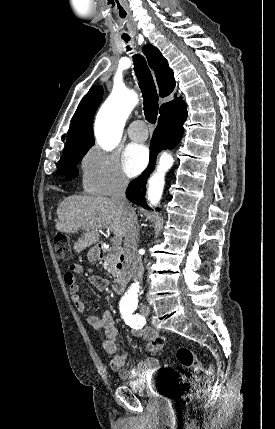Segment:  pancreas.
Instances as JSON below:
<instances>
[{
	"instance_id": "1",
	"label": "pancreas",
	"mask_w": 275,
	"mask_h": 429,
	"mask_svg": "<svg viewBox=\"0 0 275 429\" xmlns=\"http://www.w3.org/2000/svg\"><path fill=\"white\" fill-rule=\"evenodd\" d=\"M118 262V253L111 254L106 260V266L113 277H118L119 271L116 267Z\"/></svg>"
}]
</instances>
